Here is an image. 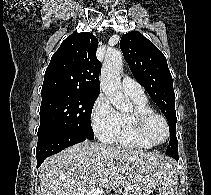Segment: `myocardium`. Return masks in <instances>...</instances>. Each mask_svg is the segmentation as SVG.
<instances>
[{"label": "myocardium", "instance_id": "myocardium-1", "mask_svg": "<svg viewBox=\"0 0 211 195\" xmlns=\"http://www.w3.org/2000/svg\"><path fill=\"white\" fill-rule=\"evenodd\" d=\"M153 117L159 118L165 126L166 137L161 142H152L146 134V126L150 119ZM131 122L133 125L136 136L145 144L150 147H156L164 144L170 136V128L167 119L164 115L154 110H134L130 114Z\"/></svg>", "mask_w": 211, "mask_h": 195}]
</instances>
